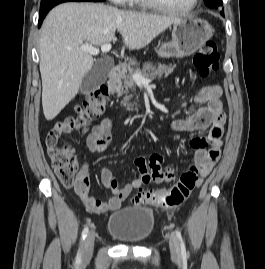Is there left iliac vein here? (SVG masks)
Wrapping results in <instances>:
<instances>
[{"instance_id":"obj_1","label":"left iliac vein","mask_w":265,"mask_h":269,"mask_svg":"<svg viewBox=\"0 0 265 269\" xmlns=\"http://www.w3.org/2000/svg\"><path fill=\"white\" fill-rule=\"evenodd\" d=\"M169 247L172 258L174 260H179L181 257L180 246L177 237L173 234L169 235Z\"/></svg>"}]
</instances>
